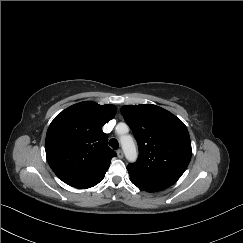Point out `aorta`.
I'll list each match as a JSON object with an SVG mask.
<instances>
[{
  "label": "aorta",
  "instance_id": "1",
  "mask_svg": "<svg viewBox=\"0 0 243 243\" xmlns=\"http://www.w3.org/2000/svg\"><path fill=\"white\" fill-rule=\"evenodd\" d=\"M121 146L126 159L134 162L137 159V147L131 135H122L120 137Z\"/></svg>",
  "mask_w": 243,
  "mask_h": 243
}]
</instances>
